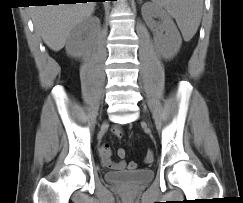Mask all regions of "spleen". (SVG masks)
I'll use <instances>...</instances> for the list:
<instances>
[{
	"label": "spleen",
	"instance_id": "3e777b00",
	"mask_svg": "<svg viewBox=\"0 0 243 203\" xmlns=\"http://www.w3.org/2000/svg\"><path fill=\"white\" fill-rule=\"evenodd\" d=\"M157 6L166 9L182 33L185 41H190L200 25L203 0H152Z\"/></svg>",
	"mask_w": 243,
	"mask_h": 203
}]
</instances>
